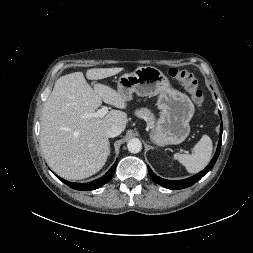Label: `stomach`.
Wrapping results in <instances>:
<instances>
[{
	"label": "stomach",
	"instance_id": "obj_1",
	"mask_svg": "<svg viewBox=\"0 0 253 253\" xmlns=\"http://www.w3.org/2000/svg\"><path fill=\"white\" fill-rule=\"evenodd\" d=\"M118 91L127 101L132 99L133 93L142 97L158 95L160 118L150 133L151 140L156 145L179 144L189 135L194 104L186 94L171 86L160 69L142 66L132 73L122 75L118 80Z\"/></svg>",
	"mask_w": 253,
	"mask_h": 253
}]
</instances>
